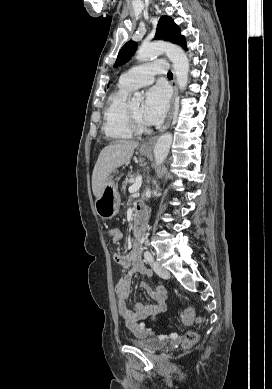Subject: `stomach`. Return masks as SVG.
I'll use <instances>...</instances> for the list:
<instances>
[{"instance_id":"stomach-1","label":"stomach","mask_w":272,"mask_h":389,"mask_svg":"<svg viewBox=\"0 0 272 389\" xmlns=\"http://www.w3.org/2000/svg\"><path fill=\"white\" fill-rule=\"evenodd\" d=\"M141 155H148L150 150L140 148ZM120 196L113 176H109L100 197L96 198L95 211L102 219H111L119 212Z\"/></svg>"}]
</instances>
